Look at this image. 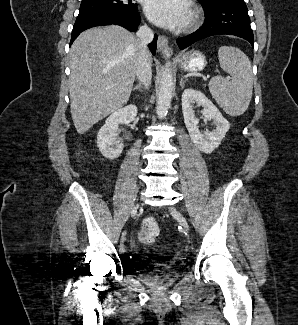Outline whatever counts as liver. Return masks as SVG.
Listing matches in <instances>:
<instances>
[{"label": "liver", "instance_id": "1", "mask_svg": "<svg viewBox=\"0 0 298 325\" xmlns=\"http://www.w3.org/2000/svg\"><path fill=\"white\" fill-rule=\"evenodd\" d=\"M140 42L123 26H96L81 32L70 52V112L79 134L129 100Z\"/></svg>", "mask_w": 298, "mask_h": 325}]
</instances>
